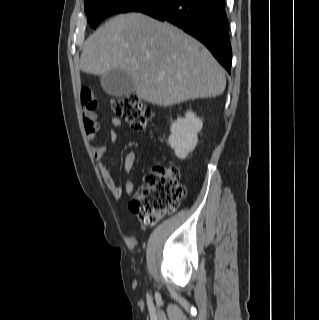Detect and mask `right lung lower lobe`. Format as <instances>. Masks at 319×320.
<instances>
[{
	"label": "right lung lower lobe",
	"mask_w": 319,
	"mask_h": 320,
	"mask_svg": "<svg viewBox=\"0 0 319 320\" xmlns=\"http://www.w3.org/2000/svg\"><path fill=\"white\" fill-rule=\"evenodd\" d=\"M224 2L225 0H160L138 11L182 28L201 41L230 72L232 50Z\"/></svg>",
	"instance_id": "1"
}]
</instances>
